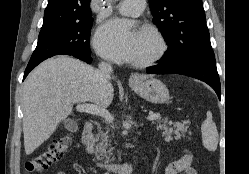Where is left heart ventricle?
Segmentation results:
<instances>
[{"label":"left heart ventricle","instance_id":"left-heart-ventricle-1","mask_svg":"<svg viewBox=\"0 0 249 174\" xmlns=\"http://www.w3.org/2000/svg\"><path fill=\"white\" fill-rule=\"evenodd\" d=\"M157 49V43L154 37L145 31H139L136 38V47L134 61L143 59Z\"/></svg>","mask_w":249,"mask_h":174}]
</instances>
